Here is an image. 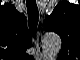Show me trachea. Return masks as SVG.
<instances>
[{
  "instance_id": "3493384b",
  "label": "trachea",
  "mask_w": 80,
  "mask_h": 60,
  "mask_svg": "<svg viewBox=\"0 0 80 60\" xmlns=\"http://www.w3.org/2000/svg\"><path fill=\"white\" fill-rule=\"evenodd\" d=\"M26 6H27V13H28L29 29L35 38V32L39 19V12H38L36 0H27Z\"/></svg>"
}]
</instances>
